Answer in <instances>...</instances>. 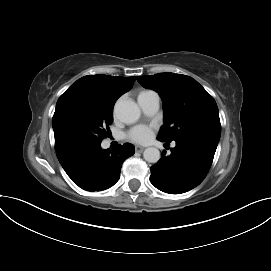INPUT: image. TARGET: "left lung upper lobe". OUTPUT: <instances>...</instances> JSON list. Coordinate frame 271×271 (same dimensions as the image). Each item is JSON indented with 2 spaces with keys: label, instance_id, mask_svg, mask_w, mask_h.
Here are the masks:
<instances>
[{
  "label": "left lung upper lobe",
  "instance_id": "5c2ea615",
  "mask_svg": "<svg viewBox=\"0 0 271 271\" xmlns=\"http://www.w3.org/2000/svg\"><path fill=\"white\" fill-rule=\"evenodd\" d=\"M137 80L162 98L164 125L159 139L171 142L195 136L219 141L221 124L217 104L196 80L174 73L140 76Z\"/></svg>",
  "mask_w": 271,
  "mask_h": 271
}]
</instances>
